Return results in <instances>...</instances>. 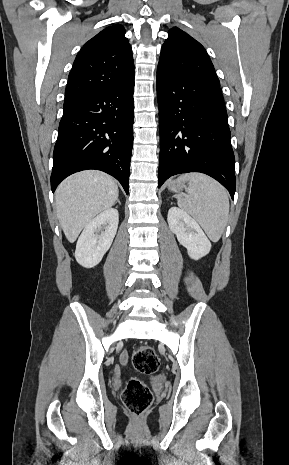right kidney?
<instances>
[{
    "label": "right kidney",
    "instance_id": "obj_1",
    "mask_svg": "<svg viewBox=\"0 0 289 465\" xmlns=\"http://www.w3.org/2000/svg\"><path fill=\"white\" fill-rule=\"evenodd\" d=\"M118 223V210L109 208L85 226L75 251L76 261L81 266L92 268L100 263L113 242Z\"/></svg>",
    "mask_w": 289,
    "mask_h": 465
}]
</instances>
